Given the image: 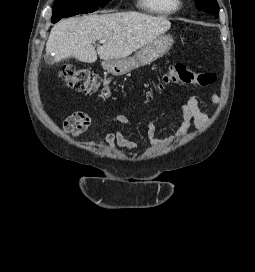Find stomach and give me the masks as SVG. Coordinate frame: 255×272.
Returning a JSON list of instances; mask_svg holds the SVG:
<instances>
[{
  "mask_svg": "<svg viewBox=\"0 0 255 272\" xmlns=\"http://www.w3.org/2000/svg\"><path fill=\"white\" fill-rule=\"evenodd\" d=\"M173 42L171 36L161 35L143 46L133 56L105 61L103 68L113 75L126 74L140 66L149 65L165 55L171 49Z\"/></svg>",
  "mask_w": 255,
  "mask_h": 272,
  "instance_id": "obj_1",
  "label": "stomach"
}]
</instances>
